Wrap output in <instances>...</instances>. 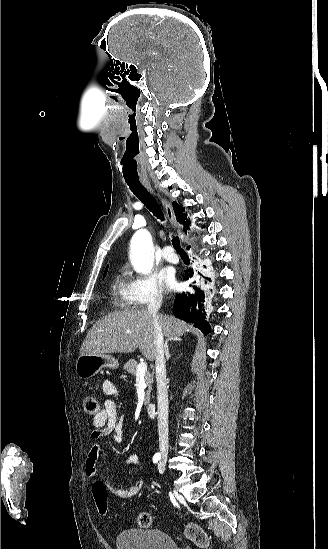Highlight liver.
Returning <instances> with one entry per match:
<instances>
[{"instance_id": "1", "label": "liver", "mask_w": 328, "mask_h": 549, "mask_svg": "<svg viewBox=\"0 0 328 549\" xmlns=\"http://www.w3.org/2000/svg\"><path fill=\"white\" fill-rule=\"evenodd\" d=\"M158 323L168 341H181L189 327L169 315H158ZM130 331V333H128ZM153 315L147 309H122L109 313L97 321L87 333L80 349V355H106V353H133L139 347L148 361L156 355Z\"/></svg>"}]
</instances>
